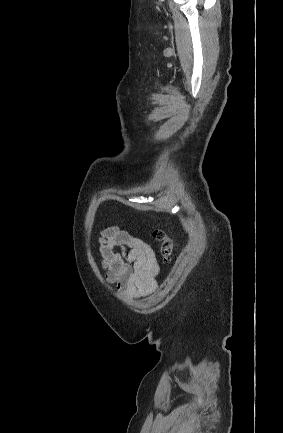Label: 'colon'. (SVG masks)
Here are the masks:
<instances>
[{
  "mask_svg": "<svg viewBox=\"0 0 283 433\" xmlns=\"http://www.w3.org/2000/svg\"><path fill=\"white\" fill-rule=\"evenodd\" d=\"M153 238L159 243V251L165 261L170 260L174 252V243L164 229H154L152 231Z\"/></svg>",
  "mask_w": 283,
  "mask_h": 433,
  "instance_id": "colon-1",
  "label": "colon"
}]
</instances>
